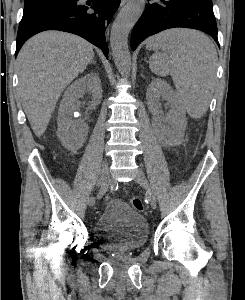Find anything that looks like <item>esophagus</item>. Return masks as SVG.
I'll list each match as a JSON object with an SVG mask.
<instances>
[{"label":"esophagus","instance_id":"obj_1","mask_svg":"<svg viewBox=\"0 0 245 300\" xmlns=\"http://www.w3.org/2000/svg\"><path fill=\"white\" fill-rule=\"evenodd\" d=\"M129 0H121V6L125 5Z\"/></svg>","mask_w":245,"mask_h":300}]
</instances>
